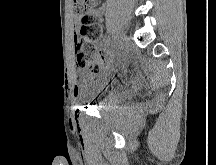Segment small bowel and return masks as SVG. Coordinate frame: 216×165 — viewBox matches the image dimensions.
<instances>
[{"mask_svg":"<svg viewBox=\"0 0 216 165\" xmlns=\"http://www.w3.org/2000/svg\"><path fill=\"white\" fill-rule=\"evenodd\" d=\"M103 12H104V8H98L94 11V15L96 17L100 18L101 15L103 14ZM97 47L100 48V45H98ZM105 54L108 56V60H109L111 58V54L108 52H105ZM92 89H94V85L91 84V82L88 78H85L82 86L75 88L74 95L78 96L80 93L89 94V91H91Z\"/></svg>","mask_w":216,"mask_h":165,"instance_id":"obj_1","label":"small bowel"}]
</instances>
